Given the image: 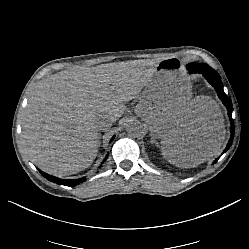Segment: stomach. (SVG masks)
Listing matches in <instances>:
<instances>
[{
  "instance_id": "1",
  "label": "stomach",
  "mask_w": 249,
  "mask_h": 249,
  "mask_svg": "<svg viewBox=\"0 0 249 249\" xmlns=\"http://www.w3.org/2000/svg\"><path fill=\"white\" fill-rule=\"evenodd\" d=\"M191 85L185 80L179 61L168 58L159 62L153 81L141 98L145 125L155 131L169 128L185 117L191 107Z\"/></svg>"
}]
</instances>
